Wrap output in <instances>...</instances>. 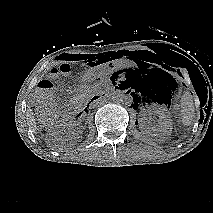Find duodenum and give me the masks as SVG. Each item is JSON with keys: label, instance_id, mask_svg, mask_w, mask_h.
<instances>
[{"label": "duodenum", "instance_id": "410a0bca", "mask_svg": "<svg viewBox=\"0 0 213 213\" xmlns=\"http://www.w3.org/2000/svg\"><path fill=\"white\" fill-rule=\"evenodd\" d=\"M107 97L106 92H101V93H97L95 94L91 100L89 104L95 103V102H99L104 100ZM71 112L76 116L79 117L81 116V114L84 112V109L78 106H73Z\"/></svg>", "mask_w": 213, "mask_h": 213}]
</instances>
